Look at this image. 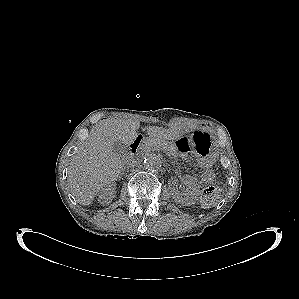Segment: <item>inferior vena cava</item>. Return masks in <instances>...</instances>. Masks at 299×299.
I'll return each instance as SVG.
<instances>
[{"instance_id": "1", "label": "inferior vena cava", "mask_w": 299, "mask_h": 299, "mask_svg": "<svg viewBox=\"0 0 299 299\" xmlns=\"http://www.w3.org/2000/svg\"><path fill=\"white\" fill-rule=\"evenodd\" d=\"M125 165L127 167H135L137 165V161L136 160H129L125 163Z\"/></svg>"}]
</instances>
